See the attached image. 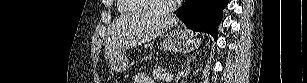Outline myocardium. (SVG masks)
Returning <instances> with one entry per match:
<instances>
[{
    "label": "myocardium",
    "instance_id": "f54148a6",
    "mask_svg": "<svg viewBox=\"0 0 307 83\" xmlns=\"http://www.w3.org/2000/svg\"><path fill=\"white\" fill-rule=\"evenodd\" d=\"M159 0H147V2L155 8L156 12L160 15H166L171 13L177 6L176 0H172L170 3H168L165 6H160L158 3Z\"/></svg>",
    "mask_w": 307,
    "mask_h": 83
}]
</instances>
